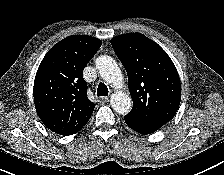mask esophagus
<instances>
[{
    "label": "esophagus",
    "mask_w": 224,
    "mask_h": 175,
    "mask_svg": "<svg viewBox=\"0 0 224 175\" xmlns=\"http://www.w3.org/2000/svg\"><path fill=\"white\" fill-rule=\"evenodd\" d=\"M109 101V97L108 96H103V97H100L99 98V102L101 103V104H105V103H107Z\"/></svg>",
    "instance_id": "esophagus-1"
}]
</instances>
